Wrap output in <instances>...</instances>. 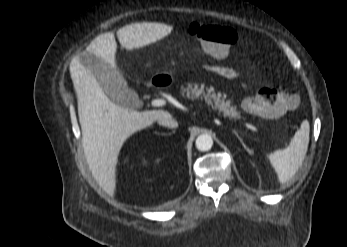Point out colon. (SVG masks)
<instances>
[{"label": "colon", "instance_id": "obj_1", "mask_svg": "<svg viewBox=\"0 0 347 247\" xmlns=\"http://www.w3.org/2000/svg\"><path fill=\"white\" fill-rule=\"evenodd\" d=\"M189 34L209 56L216 59L225 58L229 48L237 41V32L233 28L215 23L193 22L189 26ZM297 104L296 95L286 87H264L256 96L243 101L246 110L271 118L294 109Z\"/></svg>", "mask_w": 347, "mask_h": 247}]
</instances>
